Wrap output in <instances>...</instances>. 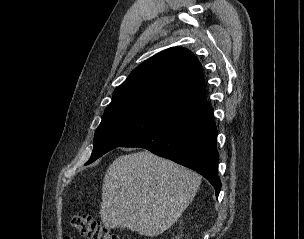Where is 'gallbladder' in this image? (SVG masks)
Here are the masks:
<instances>
[{
  "label": "gallbladder",
  "instance_id": "gallbladder-1",
  "mask_svg": "<svg viewBox=\"0 0 304 239\" xmlns=\"http://www.w3.org/2000/svg\"><path fill=\"white\" fill-rule=\"evenodd\" d=\"M120 228V230H122L123 229V227H119Z\"/></svg>",
  "mask_w": 304,
  "mask_h": 239
}]
</instances>
